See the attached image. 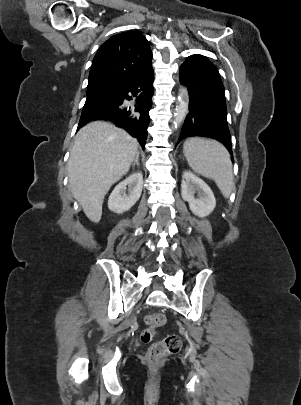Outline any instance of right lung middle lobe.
<instances>
[{"label": "right lung middle lobe", "mask_w": 301, "mask_h": 405, "mask_svg": "<svg viewBox=\"0 0 301 405\" xmlns=\"http://www.w3.org/2000/svg\"><path fill=\"white\" fill-rule=\"evenodd\" d=\"M118 92L111 90L87 91V100L83 109H90L111 101Z\"/></svg>", "instance_id": "right-lung-middle-lobe-1"}]
</instances>
